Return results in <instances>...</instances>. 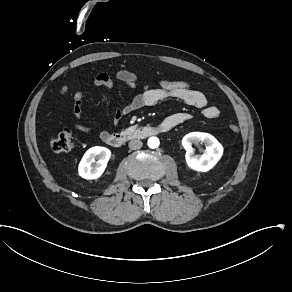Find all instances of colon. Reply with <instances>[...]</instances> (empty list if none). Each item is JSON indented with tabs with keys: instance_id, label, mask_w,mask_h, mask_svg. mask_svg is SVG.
<instances>
[{
	"instance_id": "5ec220e1",
	"label": "colon",
	"mask_w": 292,
	"mask_h": 292,
	"mask_svg": "<svg viewBox=\"0 0 292 292\" xmlns=\"http://www.w3.org/2000/svg\"><path fill=\"white\" fill-rule=\"evenodd\" d=\"M70 89L67 87L63 91V97H67ZM229 130L236 134L239 128L234 123L229 124ZM73 147V134L70 131H61L55 134L51 139V149L56 153H65L71 151Z\"/></svg>"
}]
</instances>
